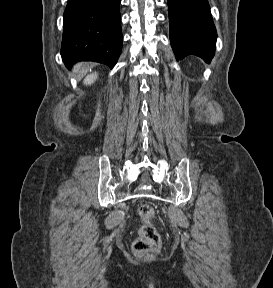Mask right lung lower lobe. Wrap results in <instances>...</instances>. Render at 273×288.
Instances as JSON below:
<instances>
[{
    "mask_svg": "<svg viewBox=\"0 0 273 288\" xmlns=\"http://www.w3.org/2000/svg\"><path fill=\"white\" fill-rule=\"evenodd\" d=\"M119 6L120 0H68L61 45L68 68L78 61L114 67L123 41Z\"/></svg>",
    "mask_w": 273,
    "mask_h": 288,
    "instance_id": "1",
    "label": "right lung lower lobe"
}]
</instances>
